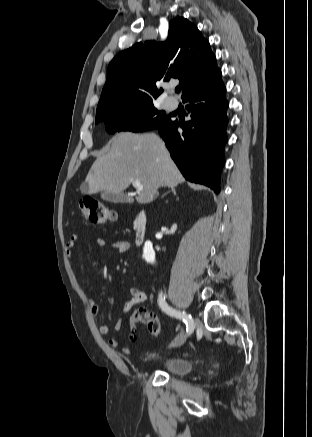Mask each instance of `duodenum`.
Segmentation results:
<instances>
[{"label": "duodenum", "instance_id": "duodenum-1", "mask_svg": "<svg viewBox=\"0 0 312 437\" xmlns=\"http://www.w3.org/2000/svg\"><path fill=\"white\" fill-rule=\"evenodd\" d=\"M147 223V213L145 211H140L133 222L135 244L137 246L143 245L146 240Z\"/></svg>", "mask_w": 312, "mask_h": 437}]
</instances>
